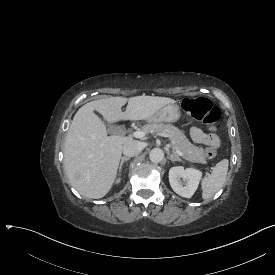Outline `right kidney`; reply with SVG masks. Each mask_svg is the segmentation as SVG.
<instances>
[{
	"mask_svg": "<svg viewBox=\"0 0 275 275\" xmlns=\"http://www.w3.org/2000/svg\"><path fill=\"white\" fill-rule=\"evenodd\" d=\"M120 182V179L118 178L117 180H116V183H119Z\"/></svg>",
	"mask_w": 275,
	"mask_h": 275,
	"instance_id": "right-kidney-1",
	"label": "right kidney"
}]
</instances>
